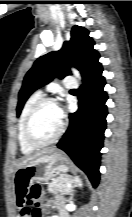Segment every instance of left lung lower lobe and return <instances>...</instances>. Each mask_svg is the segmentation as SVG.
<instances>
[{
  "label": "left lung lower lobe",
  "instance_id": "1",
  "mask_svg": "<svg viewBox=\"0 0 132 217\" xmlns=\"http://www.w3.org/2000/svg\"><path fill=\"white\" fill-rule=\"evenodd\" d=\"M102 71L100 64L83 80L84 87L79 89V109L70 114L69 127L56 145L88 175L94 187L99 181L100 150L107 116Z\"/></svg>",
  "mask_w": 132,
  "mask_h": 217
}]
</instances>
